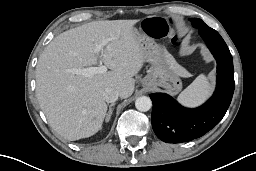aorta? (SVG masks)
Returning a JSON list of instances; mask_svg holds the SVG:
<instances>
[{"label": "aorta", "mask_w": 256, "mask_h": 171, "mask_svg": "<svg viewBox=\"0 0 256 171\" xmlns=\"http://www.w3.org/2000/svg\"><path fill=\"white\" fill-rule=\"evenodd\" d=\"M151 106H152V101L147 96L138 97L135 101L136 109L141 112H146L150 110Z\"/></svg>", "instance_id": "aorta-1"}]
</instances>
